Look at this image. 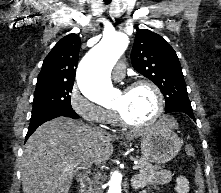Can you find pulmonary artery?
<instances>
[{
    "label": "pulmonary artery",
    "instance_id": "e3ab8cb5",
    "mask_svg": "<svg viewBox=\"0 0 221 193\" xmlns=\"http://www.w3.org/2000/svg\"><path fill=\"white\" fill-rule=\"evenodd\" d=\"M112 76L115 80H120L125 76V65L122 62L116 64L112 71Z\"/></svg>",
    "mask_w": 221,
    "mask_h": 193
}]
</instances>
